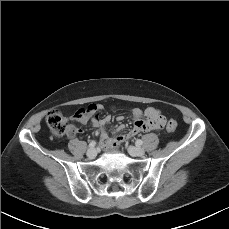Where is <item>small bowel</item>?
<instances>
[{
    "mask_svg": "<svg viewBox=\"0 0 229 229\" xmlns=\"http://www.w3.org/2000/svg\"><path fill=\"white\" fill-rule=\"evenodd\" d=\"M147 111V110H146ZM146 111L143 112L139 108H134L131 111L132 117H133V127L132 129L127 133L118 136L117 138H113L112 135L108 132L107 128L110 124L111 118L110 116H104L99 117L97 115L92 114H83L79 111L75 112L71 119L77 120L82 124L90 123L93 127L100 129V142L103 146H109L112 143H123L127 139L132 138L139 132H147L150 130V128L147 126V124L143 121V117L146 116ZM116 120L118 122H122L124 120V116L118 115L116 117ZM124 129L123 125H119L115 131H122ZM76 132H82V129L75 128L73 126L69 127L68 133L69 135H73Z\"/></svg>",
    "mask_w": 229,
    "mask_h": 229,
    "instance_id": "obj_1",
    "label": "small bowel"
}]
</instances>
